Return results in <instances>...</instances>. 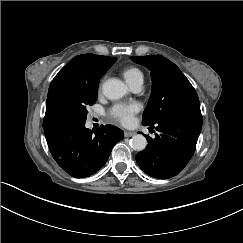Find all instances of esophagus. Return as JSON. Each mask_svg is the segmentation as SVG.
<instances>
[{"instance_id":"obj_1","label":"esophagus","mask_w":243,"mask_h":243,"mask_svg":"<svg viewBox=\"0 0 243 243\" xmlns=\"http://www.w3.org/2000/svg\"><path fill=\"white\" fill-rule=\"evenodd\" d=\"M135 135V132H129V131H125L124 132V136L125 137H132V136H134Z\"/></svg>"}]
</instances>
